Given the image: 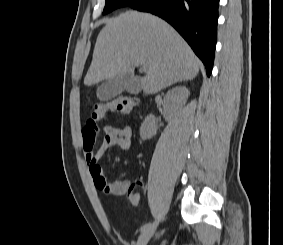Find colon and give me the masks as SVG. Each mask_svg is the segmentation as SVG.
<instances>
[{"mask_svg": "<svg viewBox=\"0 0 283 245\" xmlns=\"http://www.w3.org/2000/svg\"><path fill=\"white\" fill-rule=\"evenodd\" d=\"M137 99L134 97L119 96L112 100L96 102L92 105L89 119L92 121L101 120L106 112H115L120 116L128 115L136 106ZM133 205H138L140 196L133 191V186H129L125 194Z\"/></svg>", "mask_w": 283, "mask_h": 245, "instance_id": "5ec220e1", "label": "colon"}]
</instances>
